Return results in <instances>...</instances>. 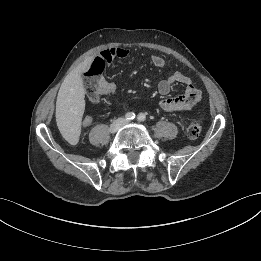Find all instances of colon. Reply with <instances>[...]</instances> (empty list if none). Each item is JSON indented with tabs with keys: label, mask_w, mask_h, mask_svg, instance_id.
<instances>
[{
	"label": "colon",
	"mask_w": 261,
	"mask_h": 261,
	"mask_svg": "<svg viewBox=\"0 0 261 261\" xmlns=\"http://www.w3.org/2000/svg\"><path fill=\"white\" fill-rule=\"evenodd\" d=\"M104 66L103 61L95 59L84 74L86 96L91 103H96L104 93V80L102 78ZM201 129V120L197 119L188 125L186 134L189 138L194 139L200 135Z\"/></svg>",
	"instance_id": "5ec220e1"
}]
</instances>
